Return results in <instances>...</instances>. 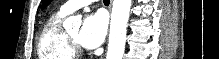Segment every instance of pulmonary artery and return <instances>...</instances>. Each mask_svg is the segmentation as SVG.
<instances>
[{
    "mask_svg": "<svg viewBox=\"0 0 219 59\" xmlns=\"http://www.w3.org/2000/svg\"><path fill=\"white\" fill-rule=\"evenodd\" d=\"M92 2V0H73V1H68L65 4H63L60 7V12L67 15L70 14L74 11H76L77 9L86 6L88 4H90Z\"/></svg>",
    "mask_w": 219,
    "mask_h": 59,
    "instance_id": "pulmonary-artery-1",
    "label": "pulmonary artery"
}]
</instances>
